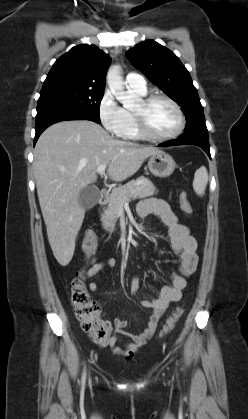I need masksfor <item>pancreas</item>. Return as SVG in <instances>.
Instances as JSON below:
<instances>
[{
	"label": "pancreas",
	"instance_id": "pancreas-1",
	"mask_svg": "<svg viewBox=\"0 0 248 419\" xmlns=\"http://www.w3.org/2000/svg\"><path fill=\"white\" fill-rule=\"evenodd\" d=\"M155 193V186L144 176L115 188L109 196L108 208L101 215L104 229L110 233L114 232L115 222L124 203L129 202L131 199L153 196Z\"/></svg>",
	"mask_w": 248,
	"mask_h": 419
}]
</instances>
